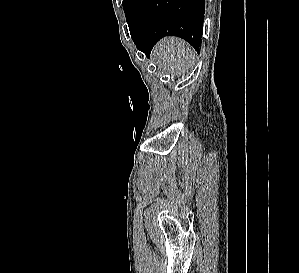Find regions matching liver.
I'll return each instance as SVG.
<instances>
[{
  "label": "liver",
  "mask_w": 299,
  "mask_h": 273,
  "mask_svg": "<svg viewBox=\"0 0 299 273\" xmlns=\"http://www.w3.org/2000/svg\"><path fill=\"white\" fill-rule=\"evenodd\" d=\"M158 68L167 70L172 76H178L192 69L196 57L188 43L177 37L161 40L152 51Z\"/></svg>",
  "instance_id": "1"
}]
</instances>
